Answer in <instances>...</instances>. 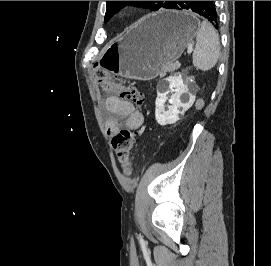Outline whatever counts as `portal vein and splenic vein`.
<instances>
[{
	"label": "portal vein and splenic vein",
	"instance_id": "portal-vein-and-splenic-vein-1",
	"mask_svg": "<svg viewBox=\"0 0 271 266\" xmlns=\"http://www.w3.org/2000/svg\"><path fill=\"white\" fill-rule=\"evenodd\" d=\"M192 51H193V46H189V47H188V50H187V53H188V54H191ZM176 63L178 64V66H180L179 61H177Z\"/></svg>",
	"mask_w": 271,
	"mask_h": 266
}]
</instances>
